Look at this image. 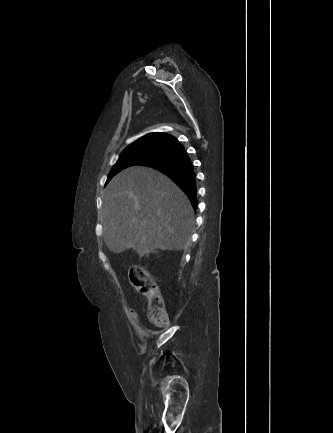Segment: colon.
I'll return each mask as SVG.
<instances>
[{"mask_svg":"<svg viewBox=\"0 0 333 433\" xmlns=\"http://www.w3.org/2000/svg\"><path fill=\"white\" fill-rule=\"evenodd\" d=\"M131 286L148 299V318L157 327H164L168 322L164 300L153 277L140 266H134L129 271Z\"/></svg>","mask_w":333,"mask_h":433,"instance_id":"obj_1","label":"colon"}]
</instances>
